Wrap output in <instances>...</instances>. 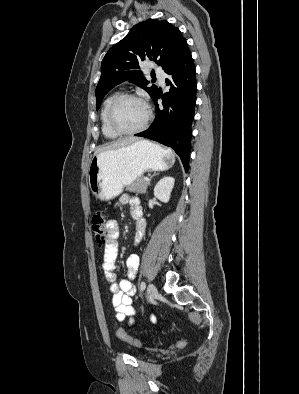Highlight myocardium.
I'll use <instances>...</instances> for the list:
<instances>
[{
  "label": "myocardium",
  "instance_id": "obj_1",
  "mask_svg": "<svg viewBox=\"0 0 299 394\" xmlns=\"http://www.w3.org/2000/svg\"><path fill=\"white\" fill-rule=\"evenodd\" d=\"M137 100L139 102H141L145 108H146V117L145 120L143 121V123L138 126L135 129L132 130H122L119 127L116 126L115 122H114V113L115 110L117 108V106L124 100ZM152 118V111L148 105V103L140 96L136 95V94H131V93H124V94H119L118 96H116L113 101L111 102L109 108H108V112H107V123L108 126L110 127V129L116 133L117 135H134L137 134L141 131H143L149 124L150 120Z\"/></svg>",
  "mask_w": 299,
  "mask_h": 394
}]
</instances>
